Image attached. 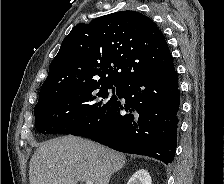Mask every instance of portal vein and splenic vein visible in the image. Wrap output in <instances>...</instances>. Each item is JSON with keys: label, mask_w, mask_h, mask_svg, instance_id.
<instances>
[{"label": "portal vein and splenic vein", "mask_w": 224, "mask_h": 184, "mask_svg": "<svg viewBox=\"0 0 224 184\" xmlns=\"http://www.w3.org/2000/svg\"><path fill=\"white\" fill-rule=\"evenodd\" d=\"M86 184H93V182L92 181H87Z\"/></svg>", "instance_id": "obj_1"}]
</instances>
